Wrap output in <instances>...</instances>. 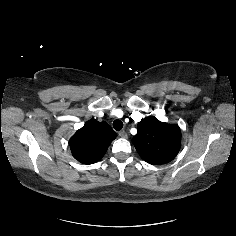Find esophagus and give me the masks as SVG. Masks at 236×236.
I'll return each instance as SVG.
<instances>
[{
    "label": "esophagus",
    "mask_w": 236,
    "mask_h": 236,
    "mask_svg": "<svg viewBox=\"0 0 236 236\" xmlns=\"http://www.w3.org/2000/svg\"><path fill=\"white\" fill-rule=\"evenodd\" d=\"M118 135L121 137V138H126L127 137V133H126V131H120L119 133H118Z\"/></svg>",
    "instance_id": "34e87169"
}]
</instances>
